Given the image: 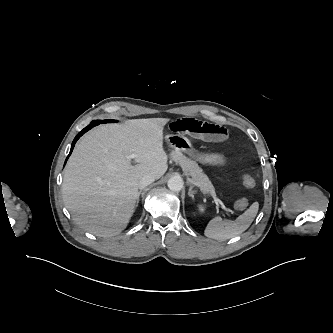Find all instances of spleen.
Instances as JSON below:
<instances>
[{
	"mask_svg": "<svg viewBox=\"0 0 333 333\" xmlns=\"http://www.w3.org/2000/svg\"><path fill=\"white\" fill-rule=\"evenodd\" d=\"M259 208L258 202H254L242 215L234 221L222 220L214 217L207 224L204 235L216 240H227L244 232L253 222Z\"/></svg>",
	"mask_w": 333,
	"mask_h": 333,
	"instance_id": "spleen-1",
	"label": "spleen"
}]
</instances>
